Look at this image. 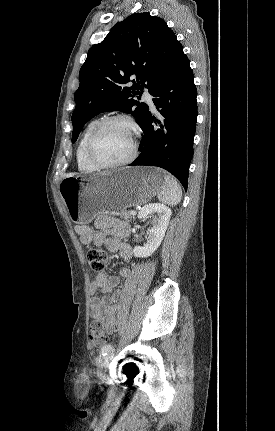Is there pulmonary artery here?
<instances>
[{
	"label": "pulmonary artery",
	"instance_id": "1",
	"mask_svg": "<svg viewBox=\"0 0 275 431\" xmlns=\"http://www.w3.org/2000/svg\"><path fill=\"white\" fill-rule=\"evenodd\" d=\"M143 100L148 103L149 107L152 110H155V106H154V103H153V100H152V96L148 92H144V94H143Z\"/></svg>",
	"mask_w": 275,
	"mask_h": 431
}]
</instances>
